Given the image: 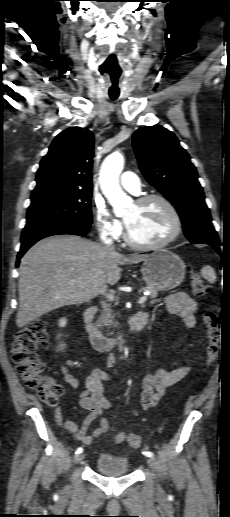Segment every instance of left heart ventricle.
Masks as SVG:
<instances>
[{
  "label": "left heart ventricle",
  "mask_w": 230,
  "mask_h": 517,
  "mask_svg": "<svg viewBox=\"0 0 230 517\" xmlns=\"http://www.w3.org/2000/svg\"><path fill=\"white\" fill-rule=\"evenodd\" d=\"M131 236L140 243H156L167 237L173 227L172 218L159 201L143 206L133 205L124 215Z\"/></svg>",
  "instance_id": "obj_1"
}]
</instances>
